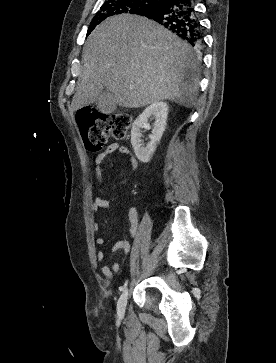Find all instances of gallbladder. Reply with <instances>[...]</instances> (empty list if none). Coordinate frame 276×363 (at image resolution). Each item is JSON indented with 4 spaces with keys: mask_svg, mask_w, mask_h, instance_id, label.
<instances>
[{
    "mask_svg": "<svg viewBox=\"0 0 276 363\" xmlns=\"http://www.w3.org/2000/svg\"><path fill=\"white\" fill-rule=\"evenodd\" d=\"M96 103L99 111L104 114H111L117 110V104L113 101V97L108 90L103 91Z\"/></svg>",
    "mask_w": 276,
    "mask_h": 363,
    "instance_id": "1",
    "label": "gallbladder"
}]
</instances>
